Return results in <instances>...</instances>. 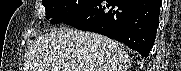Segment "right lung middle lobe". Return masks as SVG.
<instances>
[{
    "mask_svg": "<svg viewBox=\"0 0 181 71\" xmlns=\"http://www.w3.org/2000/svg\"><path fill=\"white\" fill-rule=\"evenodd\" d=\"M95 0H42L45 6L46 18L52 24H57L76 15L92 4Z\"/></svg>",
    "mask_w": 181,
    "mask_h": 71,
    "instance_id": "dd1d6c3e",
    "label": "right lung middle lobe"
}]
</instances>
